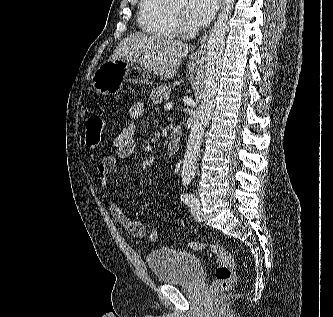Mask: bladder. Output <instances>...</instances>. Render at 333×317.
Here are the masks:
<instances>
[{
  "mask_svg": "<svg viewBox=\"0 0 333 317\" xmlns=\"http://www.w3.org/2000/svg\"><path fill=\"white\" fill-rule=\"evenodd\" d=\"M146 262L155 278L161 284H191L202 268L199 256L169 247L152 250Z\"/></svg>",
  "mask_w": 333,
  "mask_h": 317,
  "instance_id": "1",
  "label": "bladder"
}]
</instances>
